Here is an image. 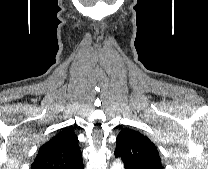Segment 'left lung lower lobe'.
Returning a JSON list of instances; mask_svg holds the SVG:
<instances>
[{
    "label": "left lung lower lobe",
    "instance_id": "left-lung-lower-lobe-1",
    "mask_svg": "<svg viewBox=\"0 0 208 169\" xmlns=\"http://www.w3.org/2000/svg\"><path fill=\"white\" fill-rule=\"evenodd\" d=\"M114 154H115V157H119L122 159L125 169H136V168H133L120 154L116 152H114Z\"/></svg>",
    "mask_w": 208,
    "mask_h": 169
}]
</instances>
